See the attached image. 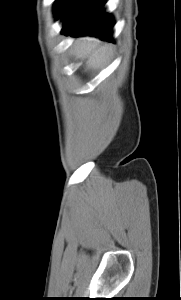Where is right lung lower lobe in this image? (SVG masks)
Here are the masks:
<instances>
[{
    "label": "right lung lower lobe",
    "mask_w": 181,
    "mask_h": 300,
    "mask_svg": "<svg viewBox=\"0 0 181 300\" xmlns=\"http://www.w3.org/2000/svg\"><path fill=\"white\" fill-rule=\"evenodd\" d=\"M58 18L64 21L65 35H94L103 40L113 41L114 21L104 10L103 0H67L56 9Z\"/></svg>",
    "instance_id": "98d812e1"
}]
</instances>
